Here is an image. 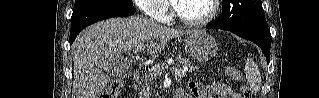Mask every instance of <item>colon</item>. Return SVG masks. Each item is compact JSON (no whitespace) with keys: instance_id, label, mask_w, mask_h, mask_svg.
I'll use <instances>...</instances> for the list:
<instances>
[{"instance_id":"colon-1","label":"colon","mask_w":319,"mask_h":98,"mask_svg":"<svg viewBox=\"0 0 319 98\" xmlns=\"http://www.w3.org/2000/svg\"><path fill=\"white\" fill-rule=\"evenodd\" d=\"M225 72L233 79H241V73L233 68L226 67ZM123 87V82L120 79H113L107 88L102 92L101 98H117L121 89ZM254 92L247 86L242 87V97L243 98H254Z\"/></svg>"}]
</instances>
